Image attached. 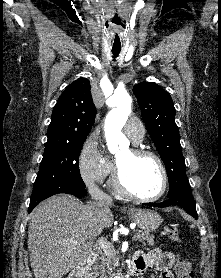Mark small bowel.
Here are the masks:
<instances>
[{
  "label": "small bowel",
  "mask_w": 221,
  "mask_h": 278,
  "mask_svg": "<svg viewBox=\"0 0 221 278\" xmlns=\"http://www.w3.org/2000/svg\"><path fill=\"white\" fill-rule=\"evenodd\" d=\"M133 260L140 272L147 269L155 270L158 272V278H172L171 268L175 267L176 270L178 262L186 261L176 258L172 252H164L160 249H153L147 254L138 253L134 255Z\"/></svg>",
  "instance_id": "obj_1"
}]
</instances>
